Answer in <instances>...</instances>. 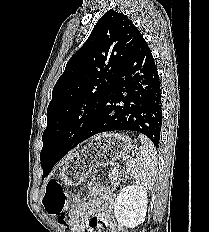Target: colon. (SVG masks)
<instances>
[{
	"label": "colon",
	"instance_id": "5ec220e1",
	"mask_svg": "<svg viewBox=\"0 0 209 232\" xmlns=\"http://www.w3.org/2000/svg\"><path fill=\"white\" fill-rule=\"evenodd\" d=\"M42 203L46 211L56 217H62L67 205V195L63 187L56 180H48L45 184V191ZM61 226H66V221L60 222Z\"/></svg>",
	"mask_w": 209,
	"mask_h": 232
}]
</instances>
